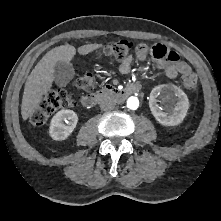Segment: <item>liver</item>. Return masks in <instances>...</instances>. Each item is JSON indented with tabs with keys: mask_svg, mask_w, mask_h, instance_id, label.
<instances>
[{
	"mask_svg": "<svg viewBox=\"0 0 221 221\" xmlns=\"http://www.w3.org/2000/svg\"><path fill=\"white\" fill-rule=\"evenodd\" d=\"M103 45L98 43L86 44L78 48L81 55H87ZM76 55V48L72 45H61L48 51L37 63L25 83L21 104L23 120L31 117L54 81V66L57 62L69 63Z\"/></svg>",
	"mask_w": 221,
	"mask_h": 221,
	"instance_id": "obj_1",
	"label": "liver"
}]
</instances>
